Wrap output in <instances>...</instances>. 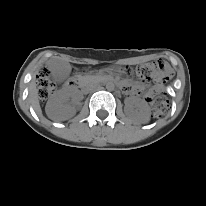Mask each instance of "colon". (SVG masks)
Returning a JSON list of instances; mask_svg holds the SVG:
<instances>
[{
    "label": "colon",
    "instance_id": "colon-1",
    "mask_svg": "<svg viewBox=\"0 0 206 206\" xmlns=\"http://www.w3.org/2000/svg\"><path fill=\"white\" fill-rule=\"evenodd\" d=\"M165 69L163 61L158 60L151 64H144L136 67L135 73L141 78L148 80L155 75L162 73ZM129 73L130 70H127ZM38 94L39 98L44 101L46 100L54 90V83L50 78L49 71L46 68L40 70L38 78ZM169 103L165 98L159 97L152 101V112L155 118L162 117L168 110Z\"/></svg>",
    "mask_w": 206,
    "mask_h": 206
}]
</instances>
